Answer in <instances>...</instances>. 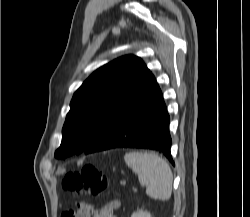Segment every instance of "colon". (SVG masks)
Returning <instances> with one entry per match:
<instances>
[{
	"label": "colon",
	"mask_w": 250,
	"mask_h": 217,
	"mask_svg": "<svg viewBox=\"0 0 250 217\" xmlns=\"http://www.w3.org/2000/svg\"><path fill=\"white\" fill-rule=\"evenodd\" d=\"M63 187L74 193H84L96 197L107 190L108 181L102 171L93 165H85L80 171L69 172L63 179ZM99 207L83 203L76 208L64 211L61 217H70L73 212H78L82 217H89L99 212Z\"/></svg>",
	"instance_id": "1"
}]
</instances>
